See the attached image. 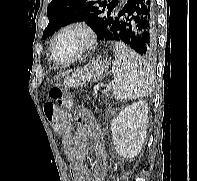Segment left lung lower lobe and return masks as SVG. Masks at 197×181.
<instances>
[{
  "mask_svg": "<svg viewBox=\"0 0 197 181\" xmlns=\"http://www.w3.org/2000/svg\"><path fill=\"white\" fill-rule=\"evenodd\" d=\"M157 12L155 0H125L100 40L125 43L142 56L156 50Z\"/></svg>",
  "mask_w": 197,
  "mask_h": 181,
  "instance_id": "obj_1",
  "label": "left lung lower lobe"
}]
</instances>
